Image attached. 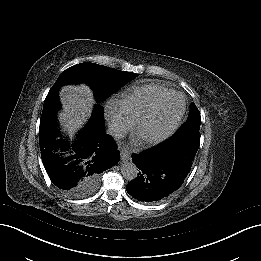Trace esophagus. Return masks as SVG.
<instances>
[{"label": "esophagus", "instance_id": "34e87169", "mask_svg": "<svg viewBox=\"0 0 261 261\" xmlns=\"http://www.w3.org/2000/svg\"><path fill=\"white\" fill-rule=\"evenodd\" d=\"M121 159L123 161H128L130 159V154L126 149L121 150Z\"/></svg>", "mask_w": 261, "mask_h": 261}]
</instances>
